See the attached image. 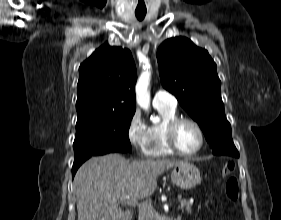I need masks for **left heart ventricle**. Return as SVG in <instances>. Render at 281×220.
<instances>
[{"mask_svg":"<svg viewBox=\"0 0 281 220\" xmlns=\"http://www.w3.org/2000/svg\"><path fill=\"white\" fill-rule=\"evenodd\" d=\"M176 141L182 151L191 152L198 147L200 137L192 124L184 122L177 128Z\"/></svg>","mask_w":281,"mask_h":220,"instance_id":"left-heart-ventricle-1","label":"left heart ventricle"}]
</instances>
